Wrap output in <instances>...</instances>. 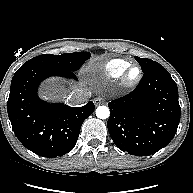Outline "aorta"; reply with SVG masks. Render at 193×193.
<instances>
[{"label": "aorta", "mask_w": 193, "mask_h": 193, "mask_svg": "<svg viewBox=\"0 0 193 193\" xmlns=\"http://www.w3.org/2000/svg\"><path fill=\"white\" fill-rule=\"evenodd\" d=\"M110 115V110L107 106H99L96 109V116L100 119H107Z\"/></svg>", "instance_id": "762f6f07"}]
</instances>
